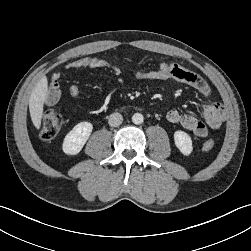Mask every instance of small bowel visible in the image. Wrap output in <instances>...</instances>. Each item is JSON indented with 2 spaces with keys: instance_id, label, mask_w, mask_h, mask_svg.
<instances>
[{
  "instance_id": "c3829d8e",
  "label": "small bowel",
  "mask_w": 251,
  "mask_h": 251,
  "mask_svg": "<svg viewBox=\"0 0 251 251\" xmlns=\"http://www.w3.org/2000/svg\"><path fill=\"white\" fill-rule=\"evenodd\" d=\"M68 69L90 68L108 69L112 74L118 75L119 69L110 62L95 58L85 57L67 65ZM140 80H173L184 83L197 90L206 100L202 104L203 119L200 120L191 114L182 113L176 109L168 111L166 118L170 123L179 124L185 129L193 132L198 137L207 136L209 129H217L224 120V110L221 104L209 100L211 88L208 83L197 73L186 66L177 63L161 62L158 69L149 71H138L135 74ZM80 89L77 85L69 88V94L77 97ZM60 97V74L54 73L51 77L49 89L47 93L46 103L52 105L57 102Z\"/></svg>"
}]
</instances>
